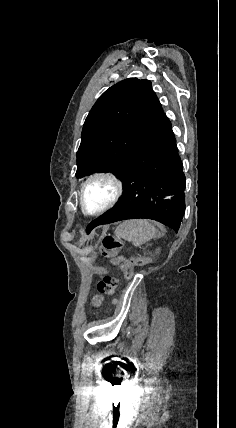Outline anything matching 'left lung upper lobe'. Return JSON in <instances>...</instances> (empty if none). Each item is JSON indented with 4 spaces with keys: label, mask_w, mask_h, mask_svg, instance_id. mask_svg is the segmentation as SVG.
I'll return each mask as SVG.
<instances>
[{
    "label": "left lung upper lobe",
    "mask_w": 236,
    "mask_h": 428,
    "mask_svg": "<svg viewBox=\"0 0 236 428\" xmlns=\"http://www.w3.org/2000/svg\"><path fill=\"white\" fill-rule=\"evenodd\" d=\"M163 114L149 80L129 78L107 89L85 120L76 177L111 172L121 179L149 130Z\"/></svg>",
    "instance_id": "left-lung-upper-lobe-1"
}]
</instances>
